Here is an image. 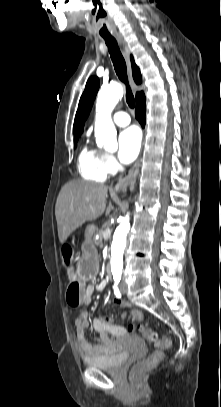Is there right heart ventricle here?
I'll use <instances>...</instances> for the list:
<instances>
[{"label": "right heart ventricle", "mask_w": 221, "mask_h": 407, "mask_svg": "<svg viewBox=\"0 0 221 407\" xmlns=\"http://www.w3.org/2000/svg\"><path fill=\"white\" fill-rule=\"evenodd\" d=\"M103 153L96 150L85 147L78 158V170L81 176L90 181L103 182L107 173L102 164Z\"/></svg>", "instance_id": "1"}]
</instances>
